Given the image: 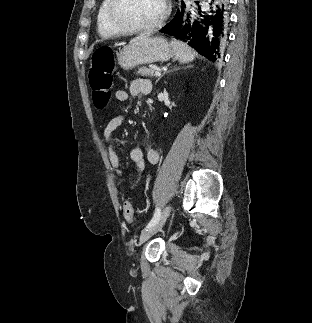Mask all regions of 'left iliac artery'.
Masks as SVG:
<instances>
[{
    "mask_svg": "<svg viewBox=\"0 0 312 323\" xmlns=\"http://www.w3.org/2000/svg\"><path fill=\"white\" fill-rule=\"evenodd\" d=\"M160 214H161L160 209L156 208L154 216L152 220L149 222V224L146 226V228H149L150 226L154 225L159 220Z\"/></svg>",
    "mask_w": 312,
    "mask_h": 323,
    "instance_id": "1",
    "label": "left iliac artery"
}]
</instances>
